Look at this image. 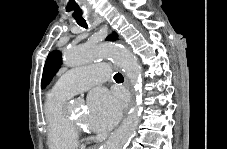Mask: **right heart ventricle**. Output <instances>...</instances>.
Here are the masks:
<instances>
[{"label": "right heart ventricle", "instance_id": "1", "mask_svg": "<svg viewBox=\"0 0 227 149\" xmlns=\"http://www.w3.org/2000/svg\"><path fill=\"white\" fill-rule=\"evenodd\" d=\"M68 98L54 89L47 94L44 114L51 149H73L78 145V132L64 111V103Z\"/></svg>", "mask_w": 227, "mask_h": 149}]
</instances>
